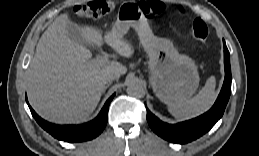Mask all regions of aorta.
<instances>
[{"instance_id": "aorta-1", "label": "aorta", "mask_w": 259, "mask_h": 156, "mask_svg": "<svg viewBox=\"0 0 259 156\" xmlns=\"http://www.w3.org/2000/svg\"><path fill=\"white\" fill-rule=\"evenodd\" d=\"M127 93L134 98H143L145 96L144 87L138 81H132L128 84Z\"/></svg>"}]
</instances>
